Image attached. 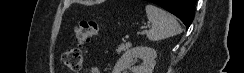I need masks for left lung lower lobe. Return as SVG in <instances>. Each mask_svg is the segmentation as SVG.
I'll use <instances>...</instances> for the list:
<instances>
[{
	"instance_id": "0a47b994",
	"label": "left lung lower lobe",
	"mask_w": 244,
	"mask_h": 73,
	"mask_svg": "<svg viewBox=\"0 0 244 73\" xmlns=\"http://www.w3.org/2000/svg\"><path fill=\"white\" fill-rule=\"evenodd\" d=\"M177 16L189 28L194 17L196 0H147Z\"/></svg>"
}]
</instances>
